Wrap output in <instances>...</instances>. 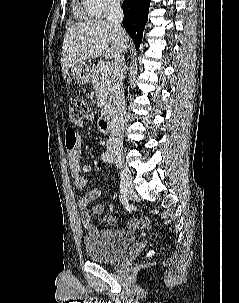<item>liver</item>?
<instances>
[{
  "label": "liver",
  "mask_w": 239,
  "mask_h": 303,
  "mask_svg": "<svg viewBox=\"0 0 239 303\" xmlns=\"http://www.w3.org/2000/svg\"><path fill=\"white\" fill-rule=\"evenodd\" d=\"M129 41L126 34L120 40L114 26L107 21L96 19L71 25L64 36L62 46L63 76L66 77L72 66L88 59L103 54L108 58L114 57L119 44L125 51L129 47Z\"/></svg>",
  "instance_id": "1"
}]
</instances>
